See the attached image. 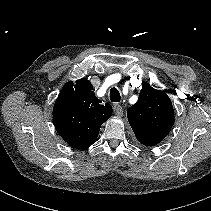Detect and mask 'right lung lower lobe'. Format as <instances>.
Wrapping results in <instances>:
<instances>
[{"label": "right lung lower lobe", "instance_id": "right-lung-lower-lobe-1", "mask_svg": "<svg viewBox=\"0 0 211 211\" xmlns=\"http://www.w3.org/2000/svg\"><path fill=\"white\" fill-rule=\"evenodd\" d=\"M53 120L56 127H63L71 122L70 116L68 115L67 103L65 101L56 100L53 109Z\"/></svg>", "mask_w": 211, "mask_h": 211}]
</instances>
